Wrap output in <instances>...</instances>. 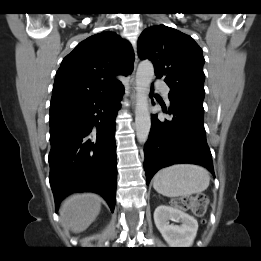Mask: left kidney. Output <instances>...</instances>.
<instances>
[{
  "instance_id": "obj_1",
  "label": "left kidney",
  "mask_w": 261,
  "mask_h": 261,
  "mask_svg": "<svg viewBox=\"0 0 261 261\" xmlns=\"http://www.w3.org/2000/svg\"><path fill=\"white\" fill-rule=\"evenodd\" d=\"M169 220L181 222V225L169 224ZM154 222L170 247L184 248L193 244L198 222L184 211L160 205L154 211Z\"/></svg>"
}]
</instances>
